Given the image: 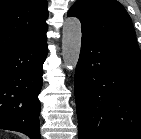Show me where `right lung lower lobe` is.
<instances>
[{"label":"right lung lower lobe","instance_id":"98d812e1","mask_svg":"<svg viewBox=\"0 0 141 139\" xmlns=\"http://www.w3.org/2000/svg\"><path fill=\"white\" fill-rule=\"evenodd\" d=\"M46 36L0 52V128L40 139L38 95L42 88Z\"/></svg>","mask_w":141,"mask_h":139}]
</instances>
